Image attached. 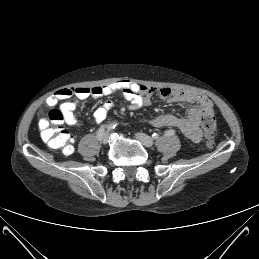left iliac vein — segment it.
I'll use <instances>...</instances> for the list:
<instances>
[{"label":"left iliac vein","instance_id":"obj_1","mask_svg":"<svg viewBox=\"0 0 259 259\" xmlns=\"http://www.w3.org/2000/svg\"><path fill=\"white\" fill-rule=\"evenodd\" d=\"M135 136L136 139L139 140L146 147H152L154 144V140L144 133L138 132L135 134Z\"/></svg>","mask_w":259,"mask_h":259}]
</instances>
